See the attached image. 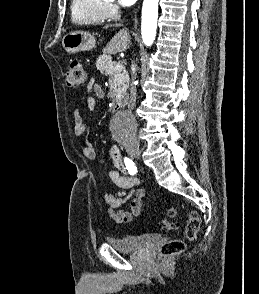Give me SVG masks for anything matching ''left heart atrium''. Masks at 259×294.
Instances as JSON below:
<instances>
[{
    "label": "left heart atrium",
    "instance_id": "39dd6f15",
    "mask_svg": "<svg viewBox=\"0 0 259 294\" xmlns=\"http://www.w3.org/2000/svg\"><path fill=\"white\" fill-rule=\"evenodd\" d=\"M137 0H119V3L123 6H131L133 5Z\"/></svg>",
    "mask_w": 259,
    "mask_h": 294
}]
</instances>
